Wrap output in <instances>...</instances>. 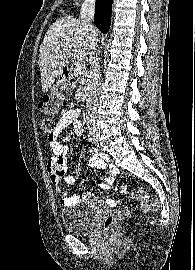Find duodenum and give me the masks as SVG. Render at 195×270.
Instances as JSON below:
<instances>
[{"mask_svg": "<svg viewBox=\"0 0 195 270\" xmlns=\"http://www.w3.org/2000/svg\"><path fill=\"white\" fill-rule=\"evenodd\" d=\"M63 74L65 79H70L72 77V68L70 65L65 66ZM88 95V88H83L79 91L78 97L81 101H86L88 99Z\"/></svg>", "mask_w": 195, "mask_h": 270, "instance_id": "410a0bca", "label": "duodenum"}]
</instances>
